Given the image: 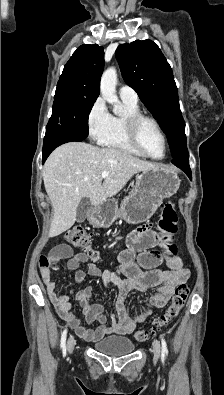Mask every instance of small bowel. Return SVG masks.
I'll list each match as a JSON object with an SVG mask.
<instances>
[{
    "instance_id": "c3829d8e",
    "label": "small bowel",
    "mask_w": 224,
    "mask_h": 395,
    "mask_svg": "<svg viewBox=\"0 0 224 395\" xmlns=\"http://www.w3.org/2000/svg\"><path fill=\"white\" fill-rule=\"evenodd\" d=\"M157 235L148 225L135 229L127 239V248L118 256L121 273L120 277L114 272L101 271L95 264L89 263L85 253L73 254V250L66 244L56 245L51 250L55 260L66 259L68 270H74V279L77 284L85 278L81 264H87L88 273L98 277L106 286L109 283L119 288V295L115 304V314L107 318L103 314V305L92 300L93 286H87L75 293V300L81 307L88 324L98 322L95 328L80 324V320L71 312L70 295H60L55 292L56 284L52 279L51 269H42L41 277L45 284L49 299L53 303L59 316L68 323L83 339L96 342L108 335H127L132 333L136 326L143 322L152 312L166 305L176 286L187 282L189 271L183 267L179 256L169 257L165 260L167 270L158 269L161 257L150 250L156 243ZM141 268L146 269L143 271ZM155 289L149 296L148 304L138 308L133 315L125 306V300L131 291L146 292Z\"/></svg>"
}]
</instances>
